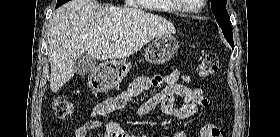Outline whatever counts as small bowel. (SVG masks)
Wrapping results in <instances>:
<instances>
[{
	"label": "small bowel",
	"mask_w": 280,
	"mask_h": 137,
	"mask_svg": "<svg viewBox=\"0 0 280 137\" xmlns=\"http://www.w3.org/2000/svg\"><path fill=\"white\" fill-rule=\"evenodd\" d=\"M192 81L189 75H183L179 70H173L166 75L156 74L154 76H143L131 83L126 92L137 96L144 91L156 88L161 84L164 87L145 100L139 107L138 113L145 114L159 107L163 113L177 119H189L196 115L198 107H206L210 104L203 90L199 87L191 88L188 84ZM180 96L183 104L175 106V97ZM127 101L122 99L121 94L110 97L97 104L92 109V119L86 121L75 131L74 137H86L88 132L103 126L100 117L114 118L124 108ZM214 125L206 124L202 127L200 134ZM102 137H134L124 130L118 122L110 120L105 124ZM173 137H186L183 132H178Z\"/></svg>",
	"instance_id": "obj_1"
}]
</instances>
